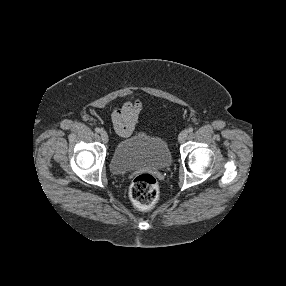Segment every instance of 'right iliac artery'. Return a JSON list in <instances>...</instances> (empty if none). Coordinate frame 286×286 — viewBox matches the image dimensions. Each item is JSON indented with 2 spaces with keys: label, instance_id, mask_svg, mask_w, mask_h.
Listing matches in <instances>:
<instances>
[{
  "label": "right iliac artery",
  "instance_id": "obj_1",
  "mask_svg": "<svg viewBox=\"0 0 286 286\" xmlns=\"http://www.w3.org/2000/svg\"><path fill=\"white\" fill-rule=\"evenodd\" d=\"M95 131H96L97 133H100V132H101V129L97 127V128L95 129Z\"/></svg>",
  "mask_w": 286,
  "mask_h": 286
}]
</instances>
